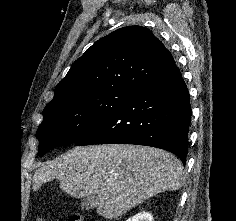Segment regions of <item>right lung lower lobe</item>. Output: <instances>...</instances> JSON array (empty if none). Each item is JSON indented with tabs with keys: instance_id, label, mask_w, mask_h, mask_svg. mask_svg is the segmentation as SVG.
<instances>
[{
	"instance_id": "1",
	"label": "right lung lower lobe",
	"mask_w": 236,
	"mask_h": 221,
	"mask_svg": "<svg viewBox=\"0 0 236 221\" xmlns=\"http://www.w3.org/2000/svg\"><path fill=\"white\" fill-rule=\"evenodd\" d=\"M191 114L188 89L174 64L140 87L75 145L152 146L174 153L185 164Z\"/></svg>"
}]
</instances>
